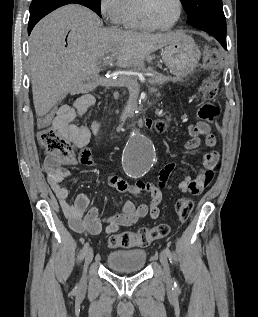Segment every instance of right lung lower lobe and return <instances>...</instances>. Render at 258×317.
<instances>
[{
  "instance_id": "right-lung-lower-lobe-1",
  "label": "right lung lower lobe",
  "mask_w": 258,
  "mask_h": 317,
  "mask_svg": "<svg viewBox=\"0 0 258 317\" xmlns=\"http://www.w3.org/2000/svg\"><path fill=\"white\" fill-rule=\"evenodd\" d=\"M81 4L96 12L101 17V10L92 0H33L30 5V18L28 34L31 33L35 24L45 15L66 4Z\"/></svg>"
}]
</instances>
